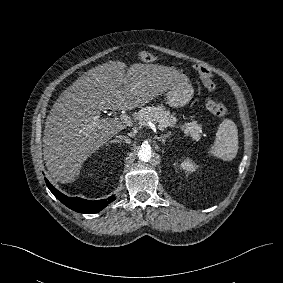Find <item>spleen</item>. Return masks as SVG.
I'll return each mask as SVG.
<instances>
[{
  "label": "spleen",
  "mask_w": 283,
  "mask_h": 283,
  "mask_svg": "<svg viewBox=\"0 0 283 283\" xmlns=\"http://www.w3.org/2000/svg\"><path fill=\"white\" fill-rule=\"evenodd\" d=\"M238 152V129L231 119H224L217 130L216 139L209 155L231 161Z\"/></svg>",
  "instance_id": "obj_1"
}]
</instances>
